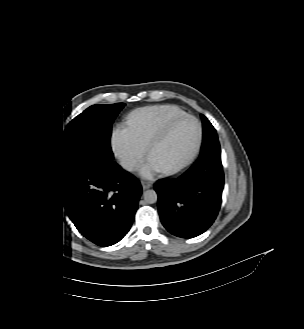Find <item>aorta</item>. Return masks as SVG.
<instances>
[{
    "instance_id": "1",
    "label": "aorta",
    "mask_w": 304,
    "mask_h": 329,
    "mask_svg": "<svg viewBox=\"0 0 304 329\" xmlns=\"http://www.w3.org/2000/svg\"><path fill=\"white\" fill-rule=\"evenodd\" d=\"M143 197H144V201L148 204H153L157 201V193L155 190H146L144 193H143Z\"/></svg>"
}]
</instances>
